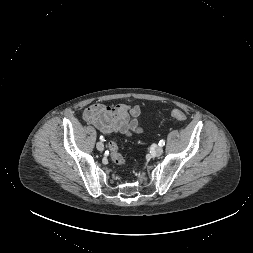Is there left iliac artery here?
Masks as SVG:
<instances>
[{
  "label": "left iliac artery",
  "instance_id": "left-iliac-artery-1",
  "mask_svg": "<svg viewBox=\"0 0 253 253\" xmlns=\"http://www.w3.org/2000/svg\"><path fill=\"white\" fill-rule=\"evenodd\" d=\"M159 145L164 146V145H165V140H161V141L159 142Z\"/></svg>",
  "mask_w": 253,
  "mask_h": 253
}]
</instances>
